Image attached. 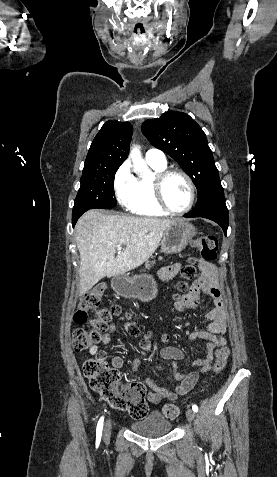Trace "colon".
Instances as JSON below:
<instances>
[{"mask_svg": "<svg viewBox=\"0 0 277 477\" xmlns=\"http://www.w3.org/2000/svg\"><path fill=\"white\" fill-rule=\"evenodd\" d=\"M193 247L207 261L217 258L218 242L214 236L197 238L193 243ZM181 276L182 280L178 283V290L186 292L189 289L188 282L196 276L193 261L182 267ZM104 292L105 286L99 284L84 294L74 313L73 319L75 323L79 325L89 324L88 329L76 328L73 332V346L78 351L88 349L100 342L112 317L121 314V308L117 304H111L109 307H100ZM184 297L178 296L177 302ZM90 310L95 311V316L91 319L88 317ZM228 356L229 350L226 347H221L217 351L213 365L215 372L225 367ZM83 371L90 387L111 408L125 411L138 419L143 418L147 414L148 406L144 399L145 387L137 382L123 384L119 373L108 365L105 357L95 356L87 358L83 363ZM163 414L168 419H174L178 416L179 409L174 404H167L163 407Z\"/></svg>", "mask_w": 277, "mask_h": 477, "instance_id": "colon-1", "label": "colon"}]
</instances>
